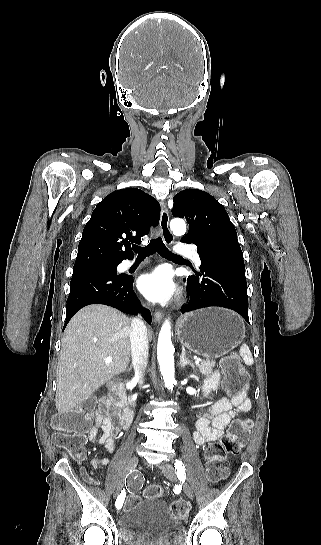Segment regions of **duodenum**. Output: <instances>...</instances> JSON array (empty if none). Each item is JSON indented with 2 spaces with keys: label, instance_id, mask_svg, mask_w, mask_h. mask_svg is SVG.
I'll use <instances>...</instances> for the list:
<instances>
[{
  "label": "duodenum",
  "instance_id": "duodenum-1",
  "mask_svg": "<svg viewBox=\"0 0 321 545\" xmlns=\"http://www.w3.org/2000/svg\"><path fill=\"white\" fill-rule=\"evenodd\" d=\"M110 399L113 404L122 411V426L128 428L132 423L134 410L129 404L125 393L118 386H113L110 391Z\"/></svg>",
  "mask_w": 321,
  "mask_h": 545
}]
</instances>
